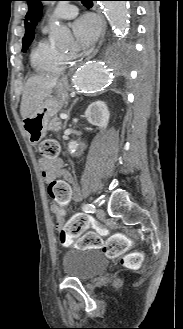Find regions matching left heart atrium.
<instances>
[{"mask_svg": "<svg viewBox=\"0 0 183 329\" xmlns=\"http://www.w3.org/2000/svg\"><path fill=\"white\" fill-rule=\"evenodd\" d=\"M100 30V22L92 14L81 16L73 24V33L81 47L92 45L98 38Z\"/></svg>", "mask_w": 183, "mask_h": 329, "instance_id": "39dd6f15", "label": "left heart atrium"}]
</instances>
